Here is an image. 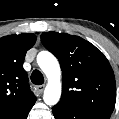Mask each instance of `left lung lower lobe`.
I'll use <instances>...</instances> for the list:
<instances>
[{
  "mask_svg": "<svg viewBox=\"0 0 119 119\" xmlns=\"http://www.w3.org/2000/svg\"><path fill=\"white\" fill-rule=\"evenodd\" d=\"M55 119H109L111 114L79 111L71 107L55 105L52 108Z\"/></svg>",
  "mask_w": 119,
  "mask_h": 119,
  "instance_id": "obj_1",
  "label": "left lung lower lobe"
}]
</instances>
